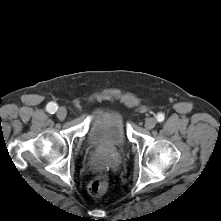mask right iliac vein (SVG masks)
<instances>
[{
	"label": "right iliac vein",
	"instance_id": "63e3f726",
	"mask_svg": "<svg viewBox=\"0 0 221 221\" xmlns=\"http://www.w3.org/2000/svg\"><path fill=\"white\" fill-rule=\"evenodd\" d=\"M67 116V110L64 107H60L57 111V117L60 120H64Z\"/></svg>",
	"mask_w": 221,
	"mask_h": 221
}]
</instances>
